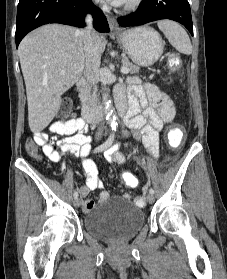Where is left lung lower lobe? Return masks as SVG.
Returning a JSON list of instances; mask_svg holds the SVG:
<instances>
[{"mask_svg":"<svg viewBox=\"0 0 227 279\" xmlns=\"http://www.w3.org/2000/svg\"><path fill=\"white\" fill-rule=\"evenodd\" d=\"M161 19L177 21L193 35L191 11L187 0H143L136 12L118 18V23L122 27H128Z\"/></svg>","mask_w":227,"mask_h":279,"instance_id":"0a47b994","label":"left lung lower lobe"}]
</instances>
